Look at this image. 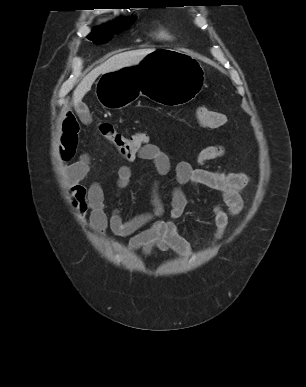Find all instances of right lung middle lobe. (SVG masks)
Wrapping results in <instances>:
<instances>
[{"instance_id": "1", "label": "right lung middle lobe", "mask_w": 306, "mask_h": 387, "mask_svg": "<svg viewBox=\"0 0 306 387\" xmlns=\"http://www.w3.org/2000/svg\"><path fill=\"white\" fill-rule=\"evenodd\" d=\"M131 22L126 20H120L114 24L105 25L99 28H96L91 34L88 35V39L92 40L96 44H103L109 41L114 34H118L123 30L129 28Z\"/></svg>"}]
</instances>
